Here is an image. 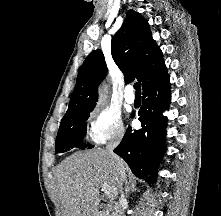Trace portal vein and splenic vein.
I'll return each instance as SVG.
<instances>
[{"mask_svg": "<svg viewBox=\"0 0 221 216\" xmlns=\"http://www.w3.org/2000/svg\"><path fill=\"white\" fill-rule=\"evenodd\" d=\"M102 191L106 194V196L109 198V199H114L113 195L111 194V190H107V189H102Z\"/></svg>", "mask_w": 221, "mask_h": 216, "instance_id": "18ae733b", "label": "portal vein and splenic vein"}]
</instances>
